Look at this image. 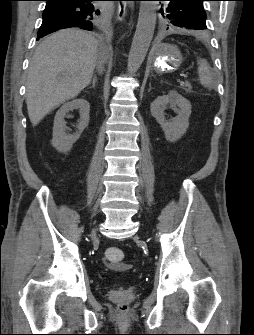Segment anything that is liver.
<instances>
[{"label": "liver", "mask_w": 254, "mask_h": 335, "mask_svg": "<svg viewBox=\"0 0 254 335\" xmlns=\"http://www.w3.org/2000/svg\"><path fill=\"white\" fill-rule=\"evenodd\" d=\"M110 51L108 44L78 29H63L46 37L33 54L27 77L26 104L32 125L78 96Z\"/></svg>", "instance_id": "6515ba94"}]
</instances>
